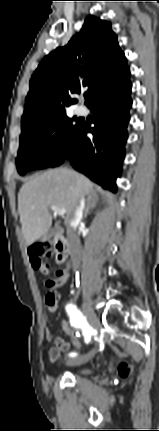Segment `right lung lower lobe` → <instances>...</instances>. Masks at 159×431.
<instances>
[{
    "label": "right lung lower lobe",
    "mask_w": 159,
    "mask_h": 431,
    "mask_svg": "<svg viewBox=\"0 0 159 431\" xmlns=\"http://www.w3.org/2000/svg\"><path fill=\"white\" fill-rule=\"evenodd\" d=\"M130 93L129 75L101 92L89 105L95 126L89 128L81 122L48 167H56L70 160L74 169L103 188L116 191L115 180L121 174L124 145L128 137L126 128L132 104ZM87 133H92L94 137L88 138Z\"/></svg>",
    "instance_id": "obj_1"
}]
</instances>
